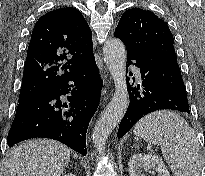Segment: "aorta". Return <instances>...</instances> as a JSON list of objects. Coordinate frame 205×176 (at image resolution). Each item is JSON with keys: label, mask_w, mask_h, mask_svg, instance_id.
Masks as SVG:
<instances>
[{"label": "aorta", "mask_w": 205, "mask_h": 176, "mask_svg": "<svg viewBox=\"0 0 205 176\" xmlns=\"http://www.w3.org/2000/svg\"><path fill=\"white\" fill-rule=\"evenodd\" d=\"M103 53L115 83V93L93 130V143L99 153L104 151L108 136L122 120L129 104L125 73L126 49L123 42L117 38L107 40Z\"/></svg>", "instance_id": "1"}]
</instances>
